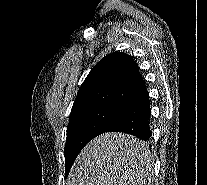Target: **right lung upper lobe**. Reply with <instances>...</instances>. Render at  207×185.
<instances>
[{
  "mask_svg": "<svg viewBox=\"0 0 207 185\" xmlns=\"http://www.w3.org/2000/svg\"><path fill=\"white\" fill-rule=\"evenodd\" d=\"M147 91L133 57L122 52L102 58L79 89L71 114L95 107L124 110Z\"/></svg>",
  "mask_w": 207,
  "mask_h": 185,
  "instance_id": "1",
  "label": "right lung upper lobe"
}]
</instances>
